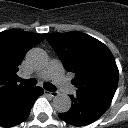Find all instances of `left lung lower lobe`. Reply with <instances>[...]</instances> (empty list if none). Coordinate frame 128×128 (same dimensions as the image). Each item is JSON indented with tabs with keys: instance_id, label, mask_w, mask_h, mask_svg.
Segmentation results:
<instances>
[{
	"instance_id": "1",
	"label": "left lung lower lobe",
	"mask_w": 128,
	"mask_h": 128,
	"mask_svg": "<svg viewBox=\"0 0 128 128\" xmlns=\"http://www.w3.org/2000/svg\"><path fill=\"white\" fill-rule=\"evenodd\" d=\"M73 106L59 117L74 126L88 125L97 120L110 106L111 96L95 93H77L70 96Z\"/></svg>"
}]
</instances>
